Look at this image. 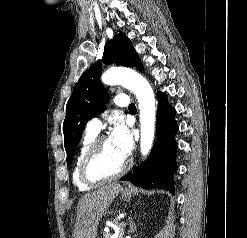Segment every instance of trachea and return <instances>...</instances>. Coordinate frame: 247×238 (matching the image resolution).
<instances>
[{"label": "trachea", "instance_id": "1", "mask_svg": "<svg viewBox=\"0 0 247 238\" xmlns=\"http://www.w3.org/2000/svg\"><path fill=\"white\" fill-rule=\"evenodd\" d=\"M129 110H136L135 105H134V104H130V105H129Z\"/></svg>", "mask_w": 247, "mask_h": 238}]
</instances>
